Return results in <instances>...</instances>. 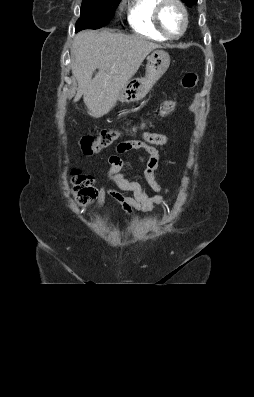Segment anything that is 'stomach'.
Returning <instances> with one entry per match:
<instances>
[{"label":"stomach","mask_w":254,"mask_h":397,"mask_svg":"<svg viewBox=\"0 0 254 397\" xmlns=\"http://www.w3.org/2000/svg\"><path fill=\"white\" fill-rule=\"evenodd\" d=\"M170 65V56L164 50H154L147 58L144 77L128 81L119 91L117 101L132 103L142 100L162 77Z\"/></svg>","instance_id":"stomach-1"}]
</instances>
